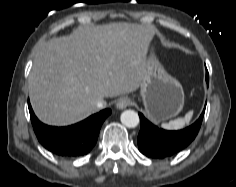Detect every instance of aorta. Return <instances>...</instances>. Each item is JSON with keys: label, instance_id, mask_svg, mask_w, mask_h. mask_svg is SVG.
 Wrapping results in <instances>:
<instances>
[{"label": "aorta", "instance_id": "762f6f07", "mask_svg": "<svg viewBox=\"0 0 236 187\" xmlns=\"http://www.w3.org/2000/svg\"><path fill=\"white\" fill-rule=\"evenodd\" d=\"M120 120L128 128H134L139 124L138 113L134 110H125L122 112Z\"/></svg>", "mask_w": 236, "mask_h": 187}]
</instances>
